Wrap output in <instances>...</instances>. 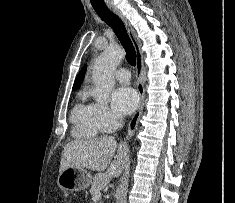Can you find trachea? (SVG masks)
Masks as SVG:
<instances>
[{
	"mask_svg": "<svg viewBox=\"0 0 235 203\" xmlns=\"http://www.w3.org/2000/svg\"><path fill=\"white\" fill-rule=\"evenodd\" d=\"M92 6L98 16L114 30L126 51L128 63L134 66L136 62V51L122 20L110 11L105 4H92Z\"/></svg>",
	"mask_w": 235,
	"mask_h": 203,
	"instance_id": "obj_1",
	"label": "trachea"
}]
</instances>
